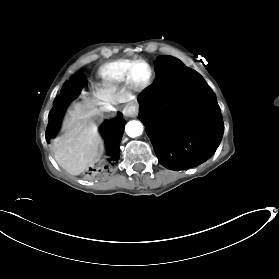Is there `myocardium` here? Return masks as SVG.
<instances>
[{"label":"myocardium","mask_w":279,"mask_h":279,"mask_svg":"<svg viewBox=\"0 0 279 279\" xmlns=\"http://www.w3.org/2000/svg\"><path fill=\"white\" fill-rule=\"evenodd\" d=\"M139 63L145 64L148 68V76L144 81H137L133 75L134 67ZM153 77H154V71H153L151 64L148 61H146L144 59H134L130 62V65L128 67L127 74H126V80H127L128 85L134 91L140 92V91L147 89L152 84Z\"/></svg>","instance_id":"1"}]
</instances>
